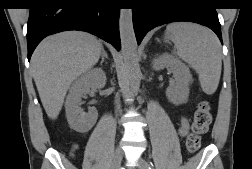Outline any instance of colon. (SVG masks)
<instances>
[{"instance_id":"colon-1","label":"colon","mask_w":252,"mask_h":169,"mask_svg":"<svg viewBox=\"0 0 252 169\" xmlns=\"http://www.w3.org/2000/svg\"><path fill=\"white\" fill-rule=\"evenodd\" d=\"M211 122L210 107L207 102L199 104L194 117L192 134L188 139L187 147L190 152H196L200 147V135L204 133Z\"/></svg>"}]
</instances>
